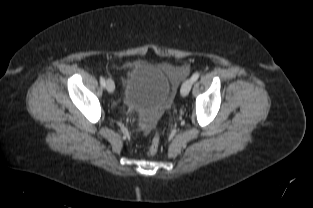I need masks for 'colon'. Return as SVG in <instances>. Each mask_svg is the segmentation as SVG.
<instances>
[{
  "mask_svg": "<svg viewBox=\"0 0 313 208\" xmlns=\"http://www.w3.org/2000/svg\"><path fill=\"white\" fill-rule=\"evenodd\" d=\"M159 148H160V135L159 133H155L149 144L147 153L153 156L158 152Z\"/></svg>",
  "mask_w": 313,
  "mask_h": 208,
  "instance_id": "colon-1",
  "label": "colon"
}]
</instances>
